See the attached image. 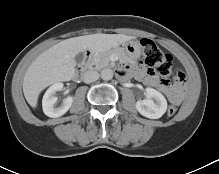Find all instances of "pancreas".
Returning a JSON list of instances; mask_svg holds the SVG:
<instances>
[{"label":"pancreas","instance_id":"pancreas-1","mask_svg":"<svg viewBox=\"0 0 219 174\" xmlns=\"http://www.w3.org/2000/svg\"><path fill=\"white\" fill-rule=\"evenodd\" d=\"M114 53L118 54L120 58L124 57V54L122 52L109 50L92 57L91 59H89L88 64L90 66H95L96 69L107 67L110 63V56Z\"/></svg>","mask_w":219,"mask_h":174}]
</instances>
